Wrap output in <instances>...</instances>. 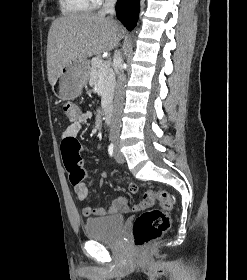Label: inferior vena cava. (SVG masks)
<instances>
[{
    "mask_svg": "<svg viewBox=\"0 0 247 280\" xmlns=\"http://www.w3.org/2000/svg\"><path fill=\"white\" fill-rule=\"evenodd\" d=\"M115 4L116 0H105L102 10L99 12L100 15L115 14ZM114 63L116 64L115 71L117 75V86H116V95L114 100V111L112 116V123L110 127L109 138L111 141L118 140L120 125H121V112L124 102V85H125V76L121 66V56L119 51H116L113 57Z\"/></svg>",
    "mask_w": 247,
    "mask_h": 280,
    "instance_id": "obj_1",
    "label": "inferior vena cava"
}]
</instances>
